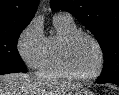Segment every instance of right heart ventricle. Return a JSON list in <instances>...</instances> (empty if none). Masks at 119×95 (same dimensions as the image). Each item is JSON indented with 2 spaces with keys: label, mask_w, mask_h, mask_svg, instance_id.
I'll list each match as a JSON object with an SVG mask.
<instances>
[{
  "label": "right heart ventricle",
  "mask_w": 119,
  "mask_h": 95,
  "mask_svg": "<svg viewBox=\"0 0 119 95\" xmlns=\"http://www.w3.org/2000/svg\"><path fill=\"white\" fill-rule=\"evenodd\" d=\"M54 26L56 34L46 38L45 49L38 67V73L41 76L52 78L69 77L63 70L60 59L59 50L62 39L72 31L77 30L74 21H65L54 18Z\"/></svg>",
  "instance_id": "obj_1"
}]
</instances>
